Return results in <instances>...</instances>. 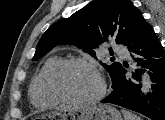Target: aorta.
Segmentation results:
<instances>
[{
    "label": "aorta",
    "mask_w": 165,
    "mask_h": 120,
    "mask_svg": "<svg viewBox=\"0 0 165 120\" xmlns=\"http://www.w3.org/2000/svg\"><path fill=\"white\" fill-rule=\"evenodd\" d=\"M151 88V81L147 72L142 75L141 93L146 94Z\"/></svg>",
    "instance_id": "762f6f07"
}]
</instances>
